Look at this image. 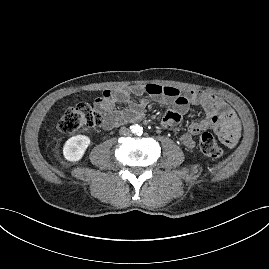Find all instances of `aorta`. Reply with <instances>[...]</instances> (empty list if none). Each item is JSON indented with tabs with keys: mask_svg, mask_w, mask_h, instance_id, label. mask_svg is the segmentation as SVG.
Masks as SVG:
<instances>
[{
	"mask_svg": "<svg viewBox=\"0 0 269 269\" xmlns=\"http://www.w3.org/2000/svg\"><path fill=\"white\" fill-rule=\"evenodd\" d=\"M136 132H137V134H142V128L138 127V128L136 129Z\"/></svg>",
	"mask_w": 269,
	"mask_h": 269,
	"instance_id": "obj_1",
	"label": "aorta"
}]
</instances>
